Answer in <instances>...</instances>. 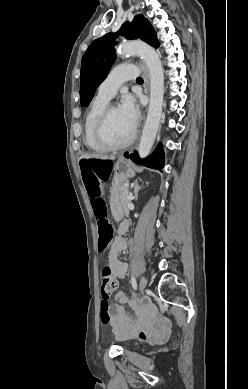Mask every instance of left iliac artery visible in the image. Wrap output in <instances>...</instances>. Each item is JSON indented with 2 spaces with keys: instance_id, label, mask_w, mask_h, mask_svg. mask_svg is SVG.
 Segmentation results:
<instances>
[{
  "instance_id": "44dca946",
  "label": "left iliac artery",
  "mask_w": 248,
  "mask_h": 389,
  "mask_svg": "<svg viewBox=\"0 0 248 389\" xmlns=\"http://www.w3.org/2000/svg\"><path fill=\"white\" fill-rule=\"evenodd\" d=\"M131 284H132L133 289L136 290L137 289V284H136V280H135L134 277L131 278Z\"/></svg>"
}]
</instances>
